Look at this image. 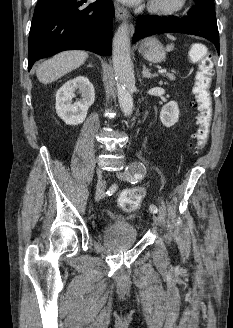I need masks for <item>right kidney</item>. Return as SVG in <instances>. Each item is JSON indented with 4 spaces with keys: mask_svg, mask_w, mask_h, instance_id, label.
Segmentation results:
<instances>
[{
    "mask_svg": "<svg viewBox=\"0 0 233 328\" xmlns=\"http://www.w3.org/2000/svg\"><path fill=\"white\" fill-rule=\"evenodd\" d=\"M81 93V99L72 102L75 91ZM94 86L85 76H77L70 79L56 93V112L68 125L83 123L89 107L94 103Z\"/></svg>",
    "mask_w": 233,
    "mask_h": 328,
    "instance_id": "1",
    "label": "right kidney"
}]
</instances>
